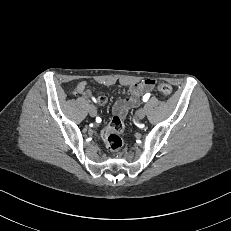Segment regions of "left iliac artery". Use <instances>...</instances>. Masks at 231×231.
Returning <instances> with one entry per match:
<instances>
[{"instance_id":"1","label":"left iliac artery","mask_w":231,"mask_h":231,"mask_svg":"<svg viewBox=\"0 0 231 231\" xmlns=\"http://www.w3.org/2000/svg\"><path fill=\"white\" fill-rule=\"evenodd\" d=\"M149 97H150V93L145 94L143 97V101L146 102L149 99Z\"/></svg>"}]
</instances>
